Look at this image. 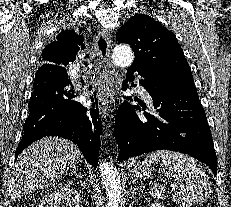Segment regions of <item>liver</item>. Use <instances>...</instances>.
Returning a JSON list of instances; mask_svg holds the SVG:
<instances>
[{
  "mask_svg": "<svg viewBox=\"0 0 231 207\" xmlns=\"http://www.w3.org/2000/svg\"><path fill=\"white\" fill-rule=\"evenodd\" d=\"M81 156L69 140L46 137L26 148L12 172V195L17 198L48 186L72 168Z\"/></svg>",
  "mask_w": 231,
  "mask_h": 207,
  "instance_id": "liver-1",
  "label": "liver"
}]
</instances>
